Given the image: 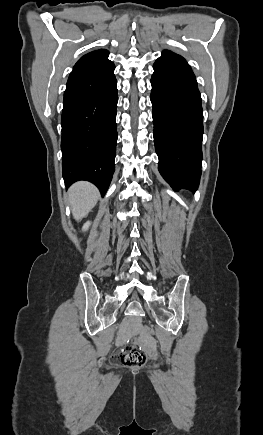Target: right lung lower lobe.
Segmentation results:
<instances>
[{
  "mask_svg": "<svg viewBox=\"0 0 263 435\" xmlns=\"http://www.w3.org/2000/svg\"><path fill=\"white\" fill-rule=\"evenodd\" d=\"M114 63L69 76L64 93L62 168L65 185L95 184L101 195L114 173L118 102Z\"/></svg>",
  "mask_w": 263,
  "mask_h": 435,
  "instance_id": "obj_1",
  "label": "right lung lower lobe"
}]
</instances>
